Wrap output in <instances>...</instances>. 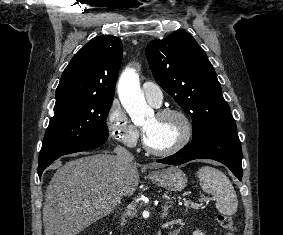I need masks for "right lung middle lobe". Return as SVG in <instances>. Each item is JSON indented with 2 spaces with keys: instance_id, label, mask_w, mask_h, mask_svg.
Listing matches in <instances>:
<instances>
[{
  "instance_id": "1",
  "label": "right lung middle lobe",
  "mask_w": 283,
  "mask_h": 235,
  "mask_svg": "<svg viewBox=\"0 0 283 235\" xmlns=\"http://www.w3.org/2000/svg\"><path fill=\"white\" fill-rule=\"evenodd\" d=\"M112 101V98L74 97L56 102L55 114L46 130L39 161L70 144L108 137L104 121Z\"/></svg>"
}]
</instances>
